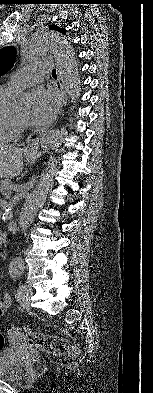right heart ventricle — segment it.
Here are the masks:
<instances>
[{"label":"right heart ventricle","mask_w":153,"mask_h":393,"mask_svg":"<svg viewBox=\"0 0 153 393\" xmlns=\"http://www.w3.org/2000/svg\"><path fill=\"white\" fill-rule=\"evenodd\" d=\"M13 92L8 87L0 88V145L16 140L22 132L9 107Z\"/></svg>","instance_id":"right-heart-ventricle-1"}]
</instances>
